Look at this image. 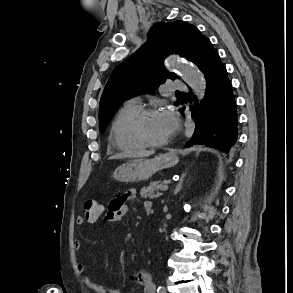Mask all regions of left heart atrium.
Segmentation results:
<instances>
[{"label": "left heart atrium", "mask_w": 293, "mask_h": 293, "mask_svg": "<svg viewBox=\"0 0 293 293\" xmlns=\"http://www.w3.org/2000/svg\"><path fill=\"white\" fill-rule=\"evenodd\" d=\"M165 114H166V117H167L168 121L170 122V124H171V126H172V130H173V128H174V117H173V115L170 114V113H166V112H165Z\"/></svg>", "instance_id": "obj_1"}]
</instances>
